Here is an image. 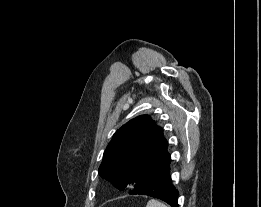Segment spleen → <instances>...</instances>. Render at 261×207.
<instances>
[{
    "label": "spleen",
    "mask_w": 261,
    "mask_h": 207,
    "mask_svg": "<svg viewBox=\"0 0 261 207\" xmlns=\"http://www.w3.org/2000/svg\"><path fill=\"white\" fill-rule=\"evenodd\" d=\"M146 207H168V206H166L165 204L157 200L152 199L147 203Z\"/></svg>",
    "instance_id": "spleen-1"
}]
</instances>
